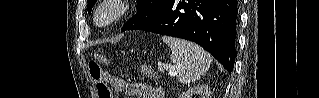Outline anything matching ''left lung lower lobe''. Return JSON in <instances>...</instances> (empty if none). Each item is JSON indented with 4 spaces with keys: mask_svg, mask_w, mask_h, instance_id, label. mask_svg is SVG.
<instances>
[{
    "mask_svg": "<svg viewBox=\"0 0 319 98\" xmlns=\"http://www.w3.org/2000/svg\"><path fill=\"white\" fill-rule=\"evenodd\" d=\"M237 14V0H165L158 16L139 30L194 41L232 72Z\"/></svg>",
    "mask_w": 319,
    "mask_h": 98,
    "instance_id": "left-lung-lower-lobe-1",
    "label": "left lung lower lobe"
}]
</instances>
